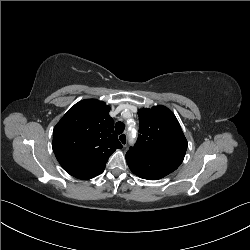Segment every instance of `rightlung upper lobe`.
I'll return each instance as SVG.
<instances>
[{
  "label": "right lung upper lobe",
  "mask_w": 250,
  "mask_h": 250,
  "mask_svg": "<svg viewBox=\"0 0 250 250\" xmlns=\"http://www.w3.org/2000/svg\"><path fill=\"white\" fill-rule=\"evenodd\" d=\"M109 111L102 101L83 100L55 126L53 151L70 175L85 180L100 175L112 153L122 148Z\"/></svg>",
  "instance_id": "obj_1"
}]
</instances>
